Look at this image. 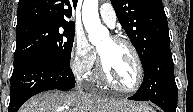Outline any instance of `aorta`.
<instances>
[{"label":"aorta","mask_w":193,"mask_h":112,"mask_svg":"<svg viewBox=\"0 0 193 112\" xmlns=\"http://www.w3.org/2000/svg\"><path fill=\"white\" fill-rule=\"evenodd\" d=\"M82 20L88 33L89 41L97 45L109 35L108 30L102 26L98 13V0H84L82 6Z\"/></svg>","instance_id":"obj_1"}]
</instances>
